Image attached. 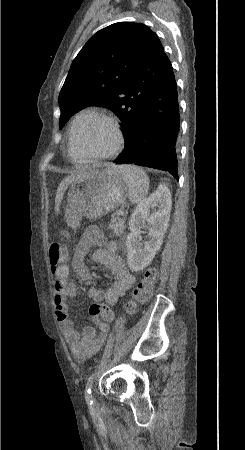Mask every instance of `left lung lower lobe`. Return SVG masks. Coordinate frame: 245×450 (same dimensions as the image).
<instances>
[{
	"instance_id": "1",
	"label": "left lung lower lobe",
	"mask_w": 245,
	"mask_h": 450,
	"mask_svg": "<svg viewBox=\"0 0 245 450\" xmlns=\"http://www.w3.org/2000/svg\"><path fill=\"white\" fill-rule=\"evenodd\" d=\"M179 123L177 85L170 63L141 107L124 151L113 162L168 171L178 180Z\"/></svg>"
}]
</instances>
